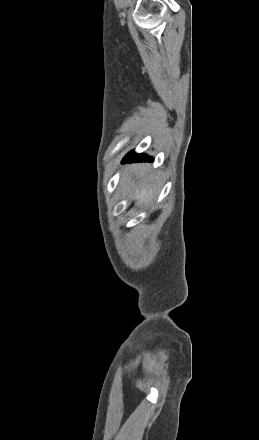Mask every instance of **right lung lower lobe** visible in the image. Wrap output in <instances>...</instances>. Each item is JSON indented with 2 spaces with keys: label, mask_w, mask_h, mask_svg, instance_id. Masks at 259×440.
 Masks as SVG:
<instances>
[{
  "label": "right lung lower lobe",
  "mask_w": 259,
  "mask_h": 440,
  "mask_svg": "<svg viewBox=\"0 0 259 440\" xmlns=\"http://www.w3.org/2000/svg\"><path fill=\"white\" fill-rule=\"evenodd\" d=\"M141 162V161H149L153 162V159L151 157H148L145 154H136L134 151H131L126 157L123 159L122 163L127 162Z\"/></svg>",
  "instance_id": "1"
}]
</instances>
